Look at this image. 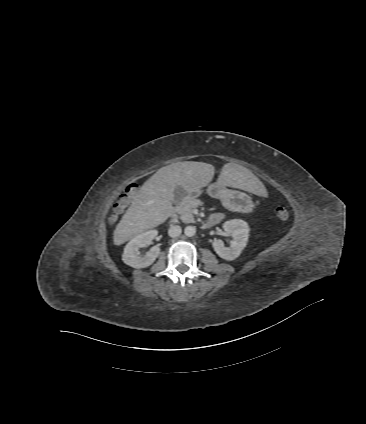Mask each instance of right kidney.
<instances>
[{
  "label": "right kidney",
  "mask_w": 366,
  "mask_h": 424,
  "mask_svg": "<svg viewBox=\"0 0 366 424\" xmlns=\"http://www.w3.org/2000/svg\"><path fill=\"white\" fill-rule=\"evenodd\" d=\"M157 234V230H149L131 239L124 248L122 254L123 262L137 269L150 266L159 256L160 248L153 246L144 256L140 255L139 249L150 245Z\"/></svg>",
  "instance_id": "right-kidney-1"
}]
</instances>
